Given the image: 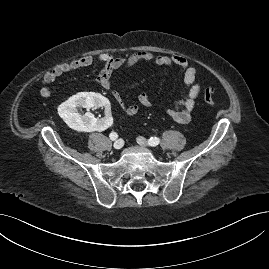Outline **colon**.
I'll use <instances>...</instances> for the list:
<instances>
[{
  "mask_svg": "<svg viewBox=\"0 0 269 269\" xmlns=\"http://www.w3.org/2000/svg\"><path fill=\"white\" fill-rule=\"evenodd\" d=\"M202 99L206 104L212 105L215 103V90L207 87L202 91Z\"/></svg>",
  "mask_w": 269,
  "mask_h": 269,
  "instance_id": "5ec220e1",
  "label": "colon"
}]
</instances>
